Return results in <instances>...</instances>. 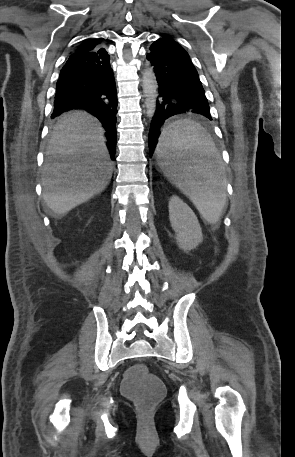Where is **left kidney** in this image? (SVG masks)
Segmentation results:
<instances>
[{"instance_id":"left-kidney-1","label":"left kidney","mask_w":295,"mask_h":457,"mask_svg":"<svg viewBox=\"0 0 295 457\" xmlns=\"http://www.w3.org/2000/svg\"><path fill=\"white\" fill-rule=\"evenodd\" d=\"M169 219L181 249L189 251L202 242V230L196 215L177 196H173L169 201Z\"/></svg>"}]
</instances>
